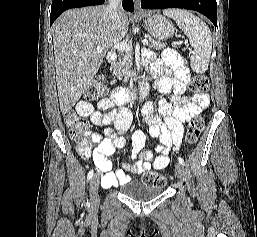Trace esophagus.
Wrapping results in <instances>:
<instances>
[{"label": "esophagus", "mask_w": 257, "mask_h": 237, "mask_svg": "<svg viewBox=\"0 0 257 237\" xmlns=\"http://www.w3.org/2000/svg\"><path fill=\"white\" fill-rule=\"evenodd\" d=\"M140 0H134V5H135V10L136 12H140L141 9H140Z\"/></svg>", "instance_id": "obj_1"}]
</instances>
